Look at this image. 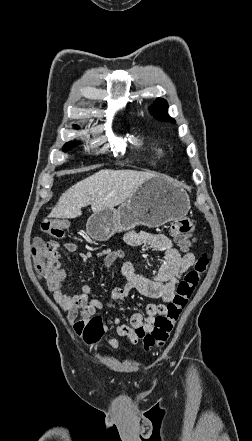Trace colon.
<instances>
[{
	"instance_id": "1",
	"label": "colon",
	"mask_w": 252,
	"mask_h": 441,
	"mask_svg": "<svg viewBox=\"0 0 252 441\" xmlns=\"http://www.w3.org/2000/svg\"><path fill=\"white\" fill-rule=\"evenodd\" d=\"M42 227L44 232L53 238H61L68 228V222L62 219H48ZM194 230L195 225L189 218L179 219L171 225V235L183 248H188L193 244ZM58 247L55 241L37 242L33 246L34 267L46 281L57 282L59 280ZM208 265V256L201 255L193 268L177 285L172 300L166 305L165 313L155 318L152 330L146 332L143 328L136 329L137 338L142 341L146 350L154 347L160 348L167 342L174 324L207 271ZM105 329L106 326L101 317H92L82 331L83 338L87 343H95L101 338Z\"/></svg>"
}]
</instances>
